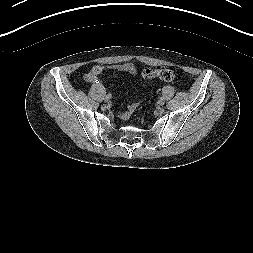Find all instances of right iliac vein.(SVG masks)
Masks as SVG:
<instances>
[{"label":"right iliac vein","mask_w":253,"mask_h":253,"mask_svg":"<svg viewBox=\"0 0 253 253\" xmlns=\"http://www.w3.org/2000/svg\"><path fill=\"white\" fill-rule=\"evenodd\" d=\"M105 101H106V102H108V101H109V99H107V98H106V100H105Z\"/></svg>","instance_id":"1"}]
</instances>
